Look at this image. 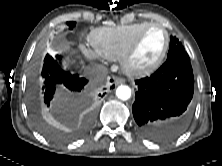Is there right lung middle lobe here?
Segmentation results:
<instances>
[{
	"label": "right lung middle lobe",
	"instance_id": "1",
	"mask_svg": "<svg viewBox=\"0 0 222 166\" xmlns=\"http://www.w3.org/2000/svg\"><path fill=\"white\" fill-rule=\"evenodd\" d=\"M67 24L71 30L75 26V22H68ZM45 113H46V108L43 107L41 104L33 112V120H34L37 128L45 135H47L53 139L59 140L61 138V135H59V133H57L52 127H50L48 125V123L46 122V120L43 117V116H45Z\"/></svg>",
	"mask_w": 222,
	"mask_h": 166
}]
</instances>
